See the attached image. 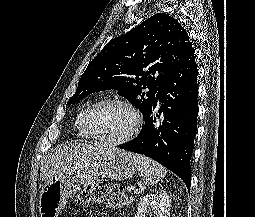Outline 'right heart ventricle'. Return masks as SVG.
<instances>
[{
	"mask_svg": "<svg viewBox=\"0 0 255 217\" xmlns=\"http://www.w3.org/2000/svg\"><path fill=\"white\" fill-rule=\"evenodd\" d=\"M88 107L83 108L76 116L75 127L77 129V134L82 139H91V135L88 133L84 124V115Z\"/></svg>",
	"mask_w": 255,
	"mask_h": 217,
	"instance_id": "right-heart-ventricle-1",
	"label": "right heart ventricle"
}]
</instances>
